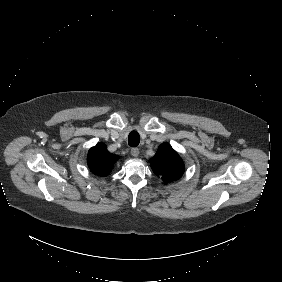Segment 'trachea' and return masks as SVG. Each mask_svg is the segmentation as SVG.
<instances>
[{
    "label": "trachea",
    "instance_id": "obj_1",
    "mask_svg": "<svg viewBox=\"0 0 282 282\" xmlns=\"http://www.w3.org/2000/svg\"><path fill=\"white\" fill-rule=\"evenodd\" d=\"M139 143H140L139 134L135 131L130 132V134L128 135V144L131 147H137Z\"/></svg>",
    "mask_w": 282,
    "mask_h": 282
}]
</instances>
